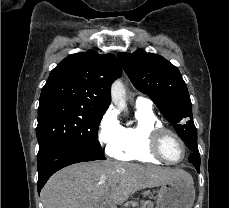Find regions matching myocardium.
<instances>
[{"label": "myocardium", "instance_id": "1", "mask_svg": "<svg viewBox=\"0 0 229 208\" xmlns=\"http://www.w3.org/2000/svg\"><path fill=\"white\" fill-rule=\"evenodd\" d=\"M168 133H171L177 137V138H173V143H178V147H184V150H185L184 156L182 157V159L178 161L168 160L167 157H164V153L161 152V148L163 147L162 139H164L165 135ZM151 137H152L153 143L151 144L152 148H149L148 152L153 153L152 154L153 158H161L162 160H164L166 163H169V164H180L184 162L185 159L187 158V155H188L187 143L184 140V138L175 130L164 127V126L158 127L152 131Z\"/></svg>", "mask_w": 229, "mask_h": 208}]
</instances>
